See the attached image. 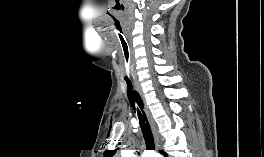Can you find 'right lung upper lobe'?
<instances>
[{"mask_svg": "<svg viewBox=\"0 0 264 157\" xmlns=\"http://www.w3.org/2000/svg\"><path fill=\"white\" fill-rule=\"evenodd\" d=\"M116 150H107L105 152L104 157H113V155L115 154Z\"/></svg>", "mask_w": 264, "mask_h": 157, "instance_id": "1", "label": "right lung upper lobe"}]
</instances>
